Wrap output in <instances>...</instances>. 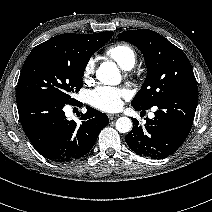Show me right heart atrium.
I'll return each mask as SVG.
<instances>
[{
  "label": "right heart atrium",
  "instance_id": "1",
  "mask_svg": "<svg viewBox=\"0 0 212 212\" xmlns=\"http://www.w3.org/2000/svg\"><path fill=\"white\" fill-rule=\"evenodd\" d=\"M94 73H95V60L90 59L85 64V67H84V70H83L84 80L87 81V82L91 81Z\"/></svg>",
  "mask_w": 212,
  "mask_h": 212
}]
</instances>
